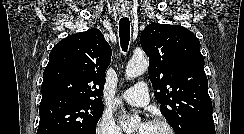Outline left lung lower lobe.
I'll return each instance as SVG.
<instances>
[{
  "label": "left lung lower lobe",
  "mask_w": 244,
  "mask_h": 134,
  "mask_svg": "<svg viewBox=\"0 0 244 134\" xmlns=\"http://www.w3.org/2000/svg\"><path fill=\"white\" fill-rule=\"evenodd\" d=\"M181 134H216L215 126L207 123L192 124L182 131Z\"/></svg>",
  "instance_id": "left-lung-lower-lobe-1"
}]
</instances>
